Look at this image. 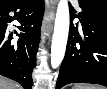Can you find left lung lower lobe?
I'll use <instances>...</instances> for the list:
<instances>
[{"instance_id":"1","label":"left lung lower lobe","mask_w":107,"mask_h":89,"mask_svg":"<svg viewBox=\"0 0 107 89\" xmlns=\"http://www.w3.org/2000/svg\"><path fill=\"white\" fill-rule=\"evenodd\" d=\"M79 5L85 37L74 26L70 30L56 89L73 82L107 86V10Z\"/></svg>"}]
</instances>
